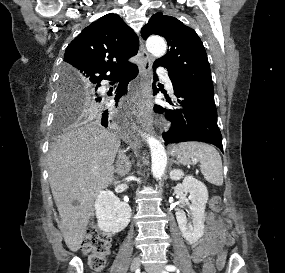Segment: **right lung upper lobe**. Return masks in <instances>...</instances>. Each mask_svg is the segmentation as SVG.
<instances>
[{"label":"right lung upper lobe","instance_id":"obj_1","mask_svg":"<svg viewBox=\"0 0 285 273\" xmlns=\"http://www.w3.org/2000/svg\"><path fill=\"white\" fill-rule=\"evenodd\" d=\"M138 37L115 14H107L82 32L65 51L62 72L83 84L95 86L132 65L126 61L137 54Z\"/></svg>","mask_w":285,"mask_h":273}]
</instances>
